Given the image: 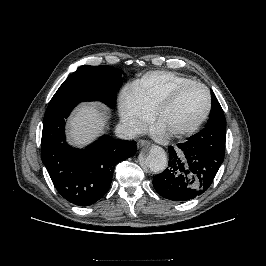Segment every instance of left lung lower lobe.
Segmentation results:
<instances>
[{
	"label": "left lung lower lobe",
	"mask_w": 266,
	"mask_h": 266,
	"mask_svg": "<svg viewBox=\"0 0 266 266\" xmlns=\"http://www.w3.org/2000/svg\"><path fill=\"white\" fill-rule=\"evenodd\" d=\"M168 152V167L153 177V186L162 197L178 202L204 193L224 160V157L211 155L188 141L169 146Z\"/></svg>",
	"instance_id": "left-lung-lower-lobe-1"
}]
</instances>
